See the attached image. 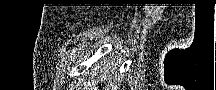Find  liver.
Returning a JSON list of instances; mask_svg holds the SVG:
<instances>
[{
  "mask_svg": "<svg viewBox=\"0 0 216 90\" xmlns=\"http://www.w3.org/2000/svg\"><path fill=\"white\" fill-rule=\"evenodd\" d=\"M84 62V58H81L80 62L78 64H82ZM92 68V66H90ZM113 68L112 66H109V58H105V60H100L98 64H96L94 70H91L90 74H97V76H100V78H108V74H111ZM107 90V88H105Z\"/></svg>",
  "mask_w": 216,
  "mask_h": 90,
  "instance_id": "liver-1",
  "label": "liver"
}]
</instances>
